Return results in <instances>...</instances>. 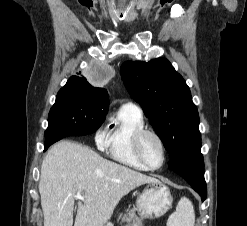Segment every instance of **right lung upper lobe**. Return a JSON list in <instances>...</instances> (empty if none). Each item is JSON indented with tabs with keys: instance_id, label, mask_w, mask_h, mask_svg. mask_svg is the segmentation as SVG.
<instances>
[{
	"instance_id": "right-lung-upper-lobe-1",
	"label": "right lung upper lobe",
	"mask_w": 247,
	"mask_h": 226,
	"mask_svg": "<svg viewBox=\"0 0 247 226\" xmlns=\"http://www.w3.org/2000/svg\"><path fill=\"white\" fill-rule=\"evenodd\" d=\"M65 86L77 89L79 91L97 97L98 99L104 102L106 109L108 110L109 99L106 89L92 86L84 76H71Z\"/></svg>"
}]
</instances>
